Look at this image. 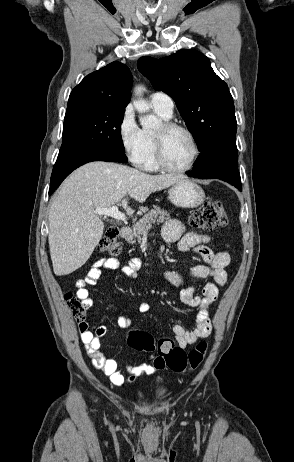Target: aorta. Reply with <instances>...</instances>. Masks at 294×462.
Masks as SVG:
<instances>
[{
    "mask_svg": "<svg viewBox=\"0 0 294 462\" xmlns=\"http://www.w3.org/2000/svg\"><path fill=\"white\" fill-rule=\"evenodd\" d=\"M143 91L144 88L139 86L135 89V94L140 96ZM133 105L135 109L141 114H145L150 109L149 104L142 99L134 101ZM140 123L143 128H156L159 125L158 119L153 115H143L140 118Z\"/></svg>",
    "mask_w": 294,
    "mask_h": 462,
    "instance_id": "1",
    "label": "aorta"
}]
</instances>
